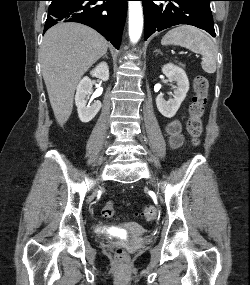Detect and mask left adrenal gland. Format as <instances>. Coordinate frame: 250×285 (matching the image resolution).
Listing matches in <instances>:
<instances>
[{
  "label": "left adrenal gland",
  "instance_id": "left-adrenal-gland-1",
  "mask_svg": "<svg viewBox=\"0 0 250 285\" xmlns=\"http://www.w3.org/2000/svg\"><path fill=\"white\" fill-rule=\"evenodd\" d=\"M155 52H156L157 54L161 53V51H160L159 49H156Z\"/></svg>",
  "mask_w": 250,
  "mask_h": 285
}]
</instances>
